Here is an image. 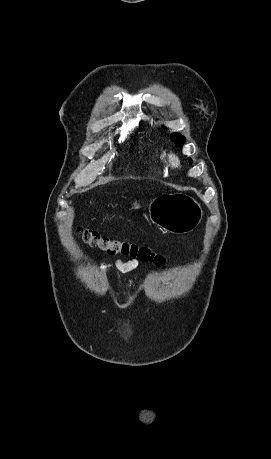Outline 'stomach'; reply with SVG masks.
<instances>
[{"mask_svg": "<svg viewBox=\"0 0 271 459\" xmlns=\"http://www.w3.org/2000/svg\"><path fill=\"white\" fill-rule=\"evenodd\" d=\"M134 210L140 208V204L134 202ZM203 216V210L190 196L186 194H164L152 200L149 206V218L152 224H156L170 233H189L199 226Z\"/></svg>", "mask_w": 271, "mask_h": 459, "instance_id": "1", "label": "stomach"}]
</instances>
